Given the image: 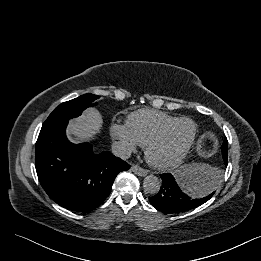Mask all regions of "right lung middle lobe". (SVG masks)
Returning <instances> with one entry per match:
<instances>
[{"label": "right lung middle lobe", "mask_w": 261, "mask_h": 261, "mask_svg": "<svg viewBox=\"0 0 261 261\" xmlns=\"http://www.w3.org/2000/svg\"><path fill=\"white\" fill-rule=\"evenodd\" d=\"M99 96L93 94H84L78 98L64 102L57 106L49 115L44 123H49L60 119H71L81 115L82 111L91 106V102L98 99Z\"/></svg>", "instance_id": "dd1d6c3e"}]
</instances>
